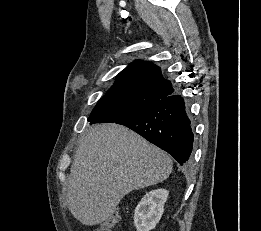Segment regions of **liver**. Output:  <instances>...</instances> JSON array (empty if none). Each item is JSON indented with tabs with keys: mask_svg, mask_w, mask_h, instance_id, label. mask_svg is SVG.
Here are the masks:
<instances>
[{
	"mask_svg": "<svg viewBox=\"0 0 261 231\" xmlns=\"http://www.w3.org/2000/svg\"><path fill=\"white\" fill-rule=\"evenodd\" d=\"M171 172L170 156L135 132L115 123L95 125L74 156L68 208L82 224H100L126 194L160 183Z\"/></svg>",
	"mask_w": 261,
	"mask_h": 231,
	"instance_id": "liver-1",
	"label": "liver"
}]
</instances>
